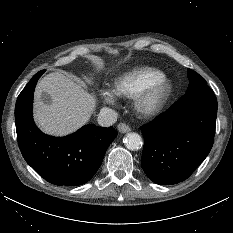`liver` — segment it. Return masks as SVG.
<instances>
[{
    "instance_id": "1",
    "label": "liver",
    "mask_w": 233,
    "mask_h": 233,
    "mask_svg": "<svg viewBox=\"0 0 233 233\" xmlns=\"http://www.w3.org/2000/svg\"><path fill=\"white\" fill-rule=\"evenodd\" d=\"M50 95L45 104L42 94ZM96 108V98L59 72L46 75L38 83L34 95V120L47 134L64 136L85 125Z\"/></svg>"
}]
</instances>
